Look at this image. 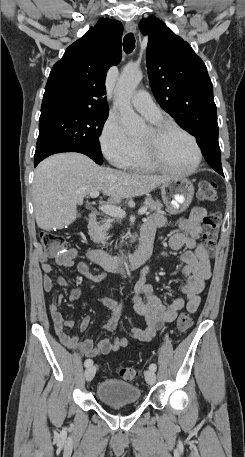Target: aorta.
<instances>
[{
    "mask_svg": "<svg viewBox=\"0 0 245 457\" xmlns=\"http://www.w3.org/2000/svg\"><path fill=\"white\" fill-rule=\"evenodd\" d=\"M142 79V72L136 67H125L117 84L114 106L120 112V119L127 132L136 135L144 132L146 124L131 106V97ZM126 266V263L124 262Z\"/></svg>",
    "mask_w": 245,
    "mask_h": 457,
    "instance_id": "aorta-1",
    "label": "aorta"
}]
</instances>
